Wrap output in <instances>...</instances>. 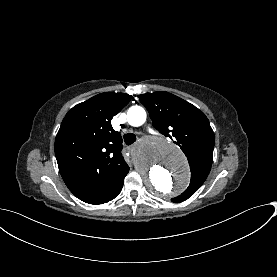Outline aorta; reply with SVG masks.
<instances>
[{
	"label": "aorta",
	"instance_id": "762f6f07",
	"mask_svg": "<svg viewBox=\"0 0 277 277\" xmlns=\"http://www.w3.org/2000/svg\"><path fill=\"white\" fill-rule=\"evenodd\" d=\"M131 126L146 121V111L132 106L127 112ZM134 164L147 189L154 196L166 199L184 190L189 183V169L182 151L169 141L156 137L142 139L134 150Z\"/></svg>",
	"mask_w": 277,
	"mask_h": 277
}]
</instances>
